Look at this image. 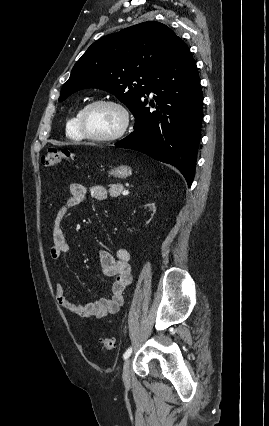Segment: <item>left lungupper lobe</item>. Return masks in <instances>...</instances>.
<instances>
[{
	"instance_id": "left-lung-upper-lobe-1",
	"label": "left lung upper lobe",
	"mask_w": 269,
	"mask_h": 426,
	"mask_svg": "<svg viewBox=\"0 0 269 426\" xmlns=\"http://www.w3.org/2000/svg\"><path fill=\"white\" fill-rule=\"evenodd\" d=\"M178 36L166 25L147 21L93 43L74 65L59 101L85 88L114 94L130 111L142 100L149 78Z\"/></svg>"
}]
</instances>
